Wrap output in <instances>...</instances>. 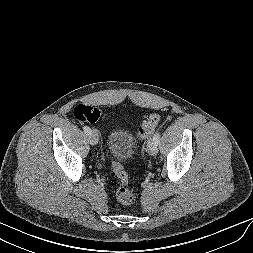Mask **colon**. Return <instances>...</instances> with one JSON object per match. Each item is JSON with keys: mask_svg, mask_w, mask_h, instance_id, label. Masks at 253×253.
Segmentation results:
<instances>
[{"mask_svg": "<svg viewBox=\"0 0 253 253\" xmlns=\"http://www.w3.org/2000/svg\"><path fill=\"white\" fill-rule=\"evenodd\" d=\"M76 120L80 122H94L96 120V109L86 105H78L73 111ZM160 122L157 113L150 114L141 124L137 132V138L144 140L149 138L156 130ZM113 171L120 181L116 192V198L122 205H130L134 201V193L129 186V177L124 167L117 162L112 164Z\"/></svg>", "mask_w": 253, "mask_h": 253, "instance_id": "obj_1", "label": "colon"}]
</instances>
